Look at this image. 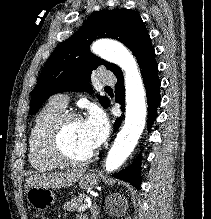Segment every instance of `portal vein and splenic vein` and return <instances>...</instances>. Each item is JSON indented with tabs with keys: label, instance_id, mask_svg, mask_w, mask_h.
I'll use <instances>...</instances> for the list:
<instances>
[{
	"label": "portal vein and splenic vein",
	"instance_id": "portal-vein-and-splenic-vein-1",
	"mask_svg": "<svg viewBox=\"0 0 211 219\" xmlns=\"http://www.w3.org/2000/svg\"><path fill=\"white\" fill-rule=\"evenodd\" d=\"M91 202V199H87L86 204H83L79 207L78 212H83L89 207V203Z\"/></svg>",
	"mask_w": 211,
	"mask_h": 219
}]
</instances>
